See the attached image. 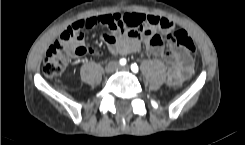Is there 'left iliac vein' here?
Returning <instances> with one entry per match:
<instances>
[{
    "label": "left iliac vein",
    "instance_id": "obj_1",
    "mask_svg": "<svg viewBox=\"0 0 245 145\" xmlns=\"http://www.w3.org/2000/svg\"><path fill=\"white\" fill-rule=\"evenodd\" d=\"M121 71H128L129 70V67L128 66H124L122 68H120Z\"/></svg>",
    "mask_w": 245,
    "mask_h": 145
}]
</instances>
